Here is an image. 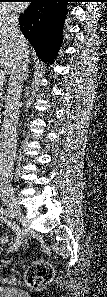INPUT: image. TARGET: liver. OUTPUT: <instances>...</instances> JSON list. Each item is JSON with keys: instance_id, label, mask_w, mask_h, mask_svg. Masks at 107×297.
<instances>
[{"instance_id": "obj_1", "label": "liver", "mask_w": 107, "mask_h": 297, "mask_svg": "<svg viewBox=\"0 0 107 297\" xmlns=\"http://www.w3.org/2000/svg\"><path fill=\"white\" fill-rule=\"evenodd\" d=\"M22 35V34H21ZM25 49L28 52L29 44L25 37L22 35ZM16 52V43L10 37L0 32V68L1 74L10 73L14 66Z\"/></svg>"}]
</instances>
